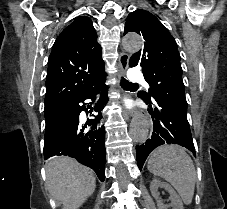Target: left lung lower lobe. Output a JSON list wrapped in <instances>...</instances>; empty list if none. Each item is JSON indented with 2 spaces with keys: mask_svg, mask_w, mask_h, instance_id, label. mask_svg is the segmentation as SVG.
<instances>
[{
  "mask_svg": "<svg viewBox=\"0 0 227 209\" xmlns=\"http://www.w3.org/2000/svg\"><path fill=\"white\" fill-rule=\"evenodd\" d=\"M148 112L152 117L154 132L151 139L136 146L137 163L140 170L148 155L163 144H178L195 156V147L187 120L186 111L167 101L148 102Z\"/></svg>",
  "mask_w": 227,
  "mask_h": 209,
  "instance_id": "obj_1",
  "label": "left lung lower lobe"
}]
</instances>
